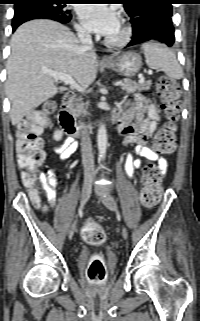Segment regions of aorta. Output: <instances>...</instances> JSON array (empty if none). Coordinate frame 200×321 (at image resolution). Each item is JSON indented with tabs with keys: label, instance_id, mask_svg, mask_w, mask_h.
<instances>
[{
	"label": "aorta",
	"instance_id": "1",
	"mask_svg": "<svg viewBox=\"0 0 200 321\" xmlns=\"http://www.w3.org/2000/svg\"><path fill=\"white\" fill-rule=\"evenodd\" d=\"M97 145L100 159H104L107 149V131L104 125H101L97 133Z\"/></svg>",
	"mask_w": 200,
	"mask_h": 321
}]
</instances>
